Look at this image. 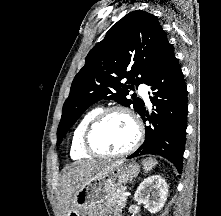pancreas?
<instances>
[{
    "instance_id": "1",
    "label": "pancreas",
    "mask_w": 221,
    "mask_h": 216,
    "mask_svg": "<svg viewBox=\"0 0 221 216\" xmlns=\"http://www.w3.org/2000/svg\"><path fill=\"white\" fill-rule=\"evenodd\" d=\"M126 187L118 188L112 197L107 200L108 204L117 205L118 207L124 208L126 205L127 197L124 195Z\"/></svg>"
}]
</instances>
